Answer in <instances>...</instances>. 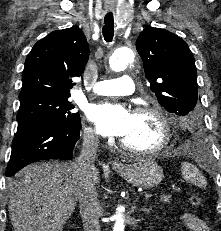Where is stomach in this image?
<instances>
[{"label":"stomach","mask_w":221,"mask_h":231,"mask_svg":"<svg viewBox=\"0 0 221 231\" xmlns=\"http://www.w3.org/2000/svg\"><path fill=\"white\" fill-rule=\"evenodd\" d=\"M114 169L128 183L145 189L156 187L164 177L161 166L151 159L131 162Z\"/></svg>","instance_id":"obj_1"}]
</instances>
